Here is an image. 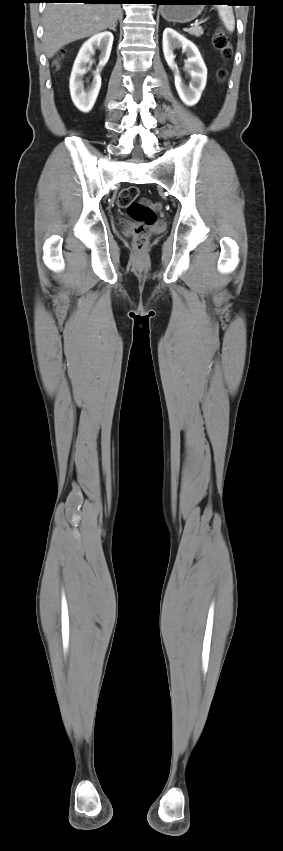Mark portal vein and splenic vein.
Wrapping results in <instances>:
<instances>
[{
  "label": "portal vein and splenic vein",
  "instance_id": "1",
  "mask_svg": "<svg viewBox=\"0 0 283 851\" xmlns=\"http://www.w3.org/2000/svg\"><path fill=\"white\" fill-rule=\"evenodd\" d=\"M204 21H205V20L200 21V22H195V23H194V25H195V26H198L199 24L203 23Z\"/></svg>",
  "mask_w": 283,
  "mask_h": 851
}]
</instances>
